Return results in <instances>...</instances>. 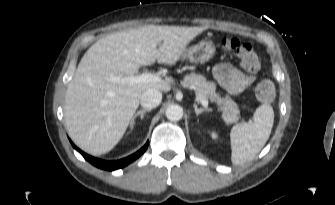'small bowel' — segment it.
I'll return each mask as SVG.
<instances>
[{
  "instance_id": "small-bowel-1",
  "label": "small bowel",
  "mask_w": 335,
  "mask_h": 205,
  "mask_svg": "<svg viewBox=\"0 0 335 205\" xmlns=\"http://www.w3.org/2000/svg\"><path fill=\"white\" fill-rule=\"evenodd\" d=\"M212 73L220 86L230 94L243 92L256 79L254 75L246 74L230 63L215 65Z\"/></svg>"
}]
</instances>
